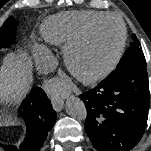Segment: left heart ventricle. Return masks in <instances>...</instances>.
I'll return each mask as SVG.
<instances>
[{
    "label": "left heart ventricle",
    "instance_id": "obj_1",
    "mask_svg": "<svg viewBox=\"0 0 151 151\" xmlns=\"http://www.w3.org/2000/svg\"><path fill=\"white\" fill-rule=\"evenodd\" d=\"M121 38V27L115 20L101 23L75 55V63L83 73H92L114 57Z\"/></svg>",
    "mask_w": 151,
    "mask_h": 151
}]
</instances>
